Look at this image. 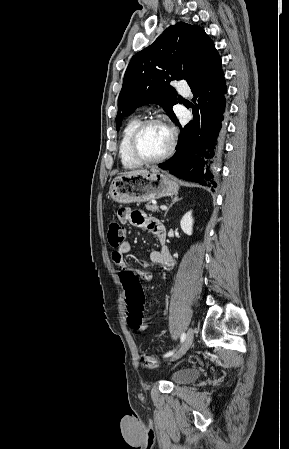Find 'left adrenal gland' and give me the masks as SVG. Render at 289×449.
Masks as SVG:
<instances>
[{"label":"left adrenal gland","instance_id":"obj_1","mask_svg":"<svg viewBox=\"0 0 289 449\" xmlns=\"http://www.w3.org/2000/svg\"><path fill=\"white\" fill-rule=\"evenodd\" d=\"M181 199H182V198H179V197H177V196L173 198L172 203L169 205V207L167 208V210H166V212H165V214H164V217L167 215L169 209L173 206V204H175L177 201H179V200H181Z\"/></svg>","mask_w":289,"mask_h":449}]
</instances>
